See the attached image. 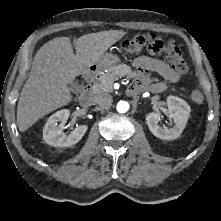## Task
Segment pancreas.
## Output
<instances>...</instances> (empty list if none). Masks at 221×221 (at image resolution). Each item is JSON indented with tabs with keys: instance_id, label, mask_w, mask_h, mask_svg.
<instances>
[{
	"instance_id": "pancreas-1",
	"label": "pancreas",
	"mask_w": 221,
	"mask_h": 221,
	"mask_svg": "<svg viewBox=\"0 0 221 221\" xmlns=\"http://www.w3.org/2000/svg\"><path fill=\"white\" fill-rule=\"evenodd\" d=\"M135 78L136 73L131 67L126 64H119L108 68L106 73H103L97 78V83L93 86L95 93H109L113 91V83L119 77Z\"/></svg>"
}]
</instances>
